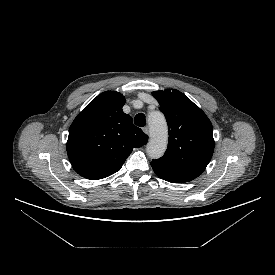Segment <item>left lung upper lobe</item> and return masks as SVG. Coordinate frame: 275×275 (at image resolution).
I'll return each instance as SVG.
<instances>
[{
  "instance_id": "5c2ea615",
  "label": "left lung upper lobe",
  "mask_w": 275,
  "mask_h": 275,
  "mask_svg": "<svg viewBox=\"0 0 275 275\" xmlns=\"http://www.w3.org/2000/svg\"><path fill=\"white\" fill-rule=\"evenodd\" d=\"M166 117L169 142L165 154L151 165L162 172L191 181L210 162L214 151L213 128L206 114L178 90L153 92Z\"/></svg>"
}]
</instances>
